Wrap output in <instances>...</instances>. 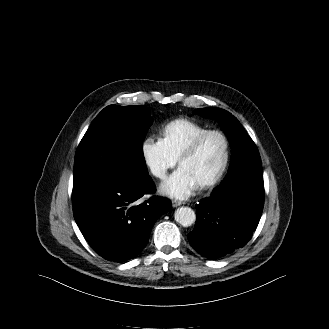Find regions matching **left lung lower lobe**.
Here are the masks:
<instances>
[{"mask_svg": "<svg viewBox=\"0 0 329 329\" xmlns=\"http://www.w3.org/2000/svg\"><path fill=\"white\" fill-rule=\"evenodd\" d=\"M221 195L196 206L197 220L188 240L201 256L217 259L242 248L261 217L264 183L261 162H238L222 182Z\"/></svg>", "mask_w": 329, "mask_h": 329, "instance_id": "obj_1", "label": "left lung lower lobe"}]
</instances>
